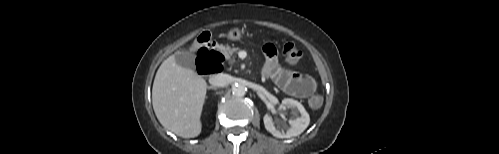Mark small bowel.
<instances>
[{
  "label": "small bowel",
  "mask_w": 499,
  "mask_h": 154,
  "mask_svg": "<svg viewBox=\"0 0 499 154\" xmlns=\"http://www.w3.org/2000/svg\"><path fill=\"white\" fill-rule=\"evenodd\" d=\"M263 52L266 58L262 71L263 75L271 78L284 92L298 98H306L315 92L317 85L314 78L280 68L276 58V49L273 45H265Z\"/></svg>",
  "instance_id": "c3829d8e"
}]
</instances>
